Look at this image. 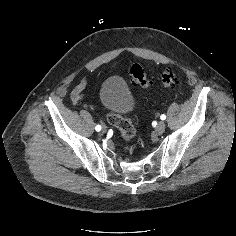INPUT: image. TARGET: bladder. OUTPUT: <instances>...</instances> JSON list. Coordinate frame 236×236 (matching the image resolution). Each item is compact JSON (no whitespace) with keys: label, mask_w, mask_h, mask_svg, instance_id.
I'll use <instances>...</instances> for the list:
<instances>
[{"label":"bladder","mask_w":236,"mask_h":236,"mask_svg":"<svg viewBox=\"0 0 236 236\" xmlns=\"http://www.w3.org/2000/svg\"><path fill=\"white\" fill-rule=\"evenodd\" d=\"M102 106L119 115H127L134 107V99L126 83L117 76L106 79L99 91Z\"/></svg>","instance_id":"obj_1"}]
</instances>
